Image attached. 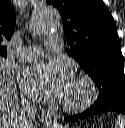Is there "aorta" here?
<instances>
[{
	"label": "aorta",
	"mask_w": 125,
	"mask_h": 128,
	"mask_svg": "<svg viewBox=\"0 0 125 128\" xmlns=\"http://www.w3.org/2000/svg\"><path fill=\"white\" fill-rule=\"evenodd\" d=\"M60 24V15L52 6L45 5L37 9L32 22L31 30L35 35H43L52 32L58 28ZM44 128H59L56 122L48 123Z\"/></svg>",
	"instance_id": "aorta-1"
}]
</instances>
